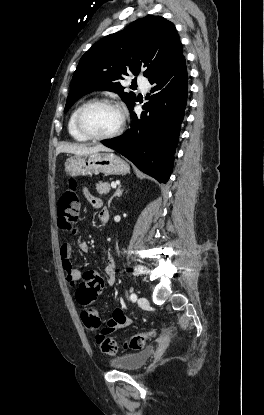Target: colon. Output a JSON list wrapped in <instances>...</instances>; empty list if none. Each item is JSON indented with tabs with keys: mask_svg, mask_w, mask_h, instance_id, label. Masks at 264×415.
I'll list each match as a JSON object with an SVG mask.
<instances>
[{
	"mask_svg": "<svg viewBox=\"0 0 264 415\" xmlns=\"http://www.w3.org/2000/svg\"><path fill=\"white\" fill-rule=\"evenodd\" d=\"M80 211V200L77 195L75 182L65 190L60 198L58 207L59 224L67 235L75 233V224ZM102 286L101 278L93 273H87L76 290V300L83 307L81 312L84 325L88 331L97 332L96 340L101 351L106 355H115L119 345L107 331L101 329V317L98 310L91 304L95 301L97 293ZM154 331L136 334L124 345L125 349L139 350L145 347L149 338L154 336Z\"/></svg>",
	"mask_w": 264,
	"mask_h": 415,
	"instance_id": "colon-1",
	"label": "colon"
}]
</instances>
